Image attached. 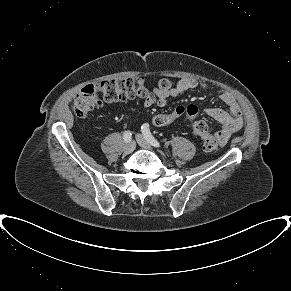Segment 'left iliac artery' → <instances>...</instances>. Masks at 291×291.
<instances>
[{
	"mask_svg": "<svg viewBox=\"0 0 291 291\" xmlns=\"http://www.w3.org/2000/svg\"><path fill=\"white\" fill-rule=\"evenodd\" d=\"M141 131L145 137V139L155 147H160V143L155 139V137L151 134L149 129V124L145 123L141 126Z\"/></svg>",
	"mask_w": 291,
	"mask_h": 291,
	"instance_id": "44dca946",
	"label": "left iliac artery"
}]
</instances>
